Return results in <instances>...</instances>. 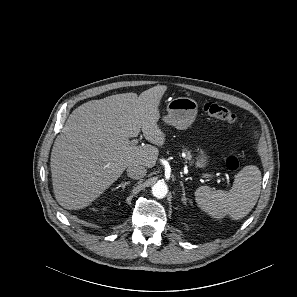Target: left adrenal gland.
I'll use <instances>...</instances> for the list:
<instances>
[{
    "label": "left adrenal gland",
    "instance_id": "obj_1",
    "mask_svg": "<svg viewBox=\"0 0 297 297\" xmlns=\"http://www.w3.org/2000/svg\"><path fill=\"white\" fill-rule=\"evenodd\" d=\"M180 185H181V187H182V202H183L184 204H186V203H187V200H189V199L186 198L185 187H184L183 182H180Z\"/></svg>",
    "mask_w": 297,
    "mask_h": 297
}]
</instances>
